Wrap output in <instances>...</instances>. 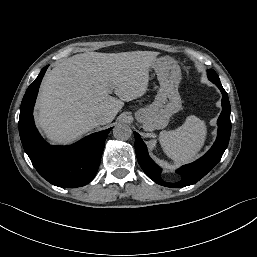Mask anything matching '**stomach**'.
Returning a JSON list of instances; mask_svg holds the SVG:
<instances>
[{
  "label": "stomach",
  "mask_w": 257,
  "mask_h": 257,
  "mask_svg": "<svg viewBox=\"0 0 257 257\" xmlns=\"http://www.w3.org/2000/svg\"><path fill=\"white\" fill-rule=\"evenodd\" d=\"M151 68L155 70L160 84L154 102L136 112V119L143 124L145 131L163 129L167 126L170 117L182 107L178 92L181 72L176 62L169 57L156 58Z\"/></svg>",
  "instance_id": "1"
}]
</instances>
